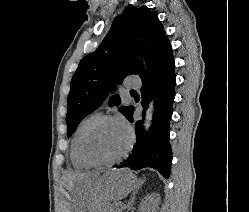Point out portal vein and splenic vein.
Listing matches in <instances>:
<instances>
[{
	"label": "portal vein and splenic vein",
	"mask_w": 249,
	"mask_h": 212,
	"mask_svg": "<svg viewBox=\"0 0 249 212\" xmlns=\"http://www.w3.org/2000/svg\"><path fill=\"white\" fill-rule=\"evenodd\" d=\"M117 212H121V210H117Z\"/></svg>",
	"instance_id": "1"
}]
</instances>
